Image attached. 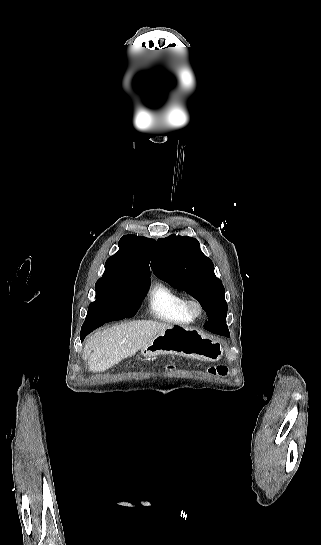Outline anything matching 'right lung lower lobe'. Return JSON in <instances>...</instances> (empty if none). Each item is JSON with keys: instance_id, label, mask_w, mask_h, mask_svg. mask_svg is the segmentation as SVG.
Instances as JSON below:
<instances>
[{"instance_id": "obj_1", "label": "right lung lower lobe", "mask_w": 321, "mask_h": 545, "mask_svg": "<svg viewBox=\"0 0 321 545\" xmlns=\"http://www.w3.org/2000/svg\"><path fill=\"white\" fill-rule=\"evenodd\" d=\"M142 300L136 295L124 294L102 305L97 309L94 321L91 323L84 322L80 332L81 341L94 329L107 322L133 317L139 309Z\"/></svg>"}]
</instances>
